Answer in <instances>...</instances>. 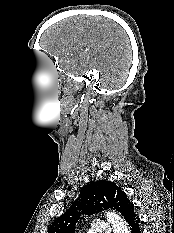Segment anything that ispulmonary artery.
Wrapping results in <instances>:
<instances>
[{
  "mask_svg": "<svg viewBox=\"0 0 174 233\" xmlns=\"http://www.w3.org/2000/svg\"><path fill=\"white\" fill-rule=\"evenodd\" d=\"M92 233H111V227L107 222L96 221L92 226Z\"/></svg>",
  "mask_w": 174,
  "mask_h": 233,
  "instance_id": "1",
  "label": "pulmonary artery"
}]
</instances>
